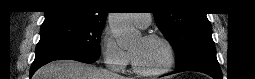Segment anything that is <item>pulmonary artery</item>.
Masks as SVG:
<instances>
[{"label": "pulmonary artery", "mask_w": 255, "mask_h": 79, "mask_svg": "<svg viewBox=\"0 0 255 79\" xmlns=\"http://www.w3.org/2000/svg\"><path fill=\"white\" fill-rule=\"evenodd\" d=\"M132 21L141 28H146L151 23V14H132Z\"/></svg>", "instance_id": "1"}]
</instances>
